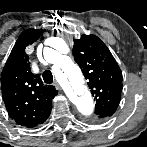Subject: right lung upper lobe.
Wrapping results in <instances>:
<instances>
[{"instance_id": "1", "label": "right lung upper lobe", "mask_w": 147, "mask_h": 147, "mask_svg": "<svg viewBox=\"0 0 147 147\" xmlns=\"http://www.w3.org/2000/svg\"><path fill=\"white\" fill-rule=\"evenodd\" d=\"M42 29H28L17 39L1 73L2 97L8 114L18 125L33 128L45 122L51 112L52 99L58 94L54 86L44 85L31 72L26 46L40 37Z\"/></svg>"}]
</instances>
